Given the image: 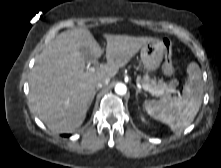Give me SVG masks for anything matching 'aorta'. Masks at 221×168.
Listing matches in <instances>:
<instances>
[{
    "label": "aorta",
    "instance_id": "aorta-1",
    "mask_svg": "<svg viewBox=\"0 0 221 168\" xmlns=\"http://www.w3.org/2000/svg\"><path fill=\"white\" fill-rule=\"evenodd\" d=\"M115 92L118 94V95H125L126 92H127V87L125 84L123 83H118L116 84L115 86Z\"/></svg>",
    "mask_w": 221,
    "mask_h": 168
}]
</instances>
